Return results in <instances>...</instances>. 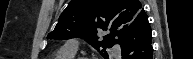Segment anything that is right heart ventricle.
<instances>
[{"label":"right heart ventricle","instance_id":"1","mask_svg":"<svg viewBox=\"0 0 193 59\" xmlns=\"http://www.w3.org/2000/svg\"><path fill=\"white\" fill-rule=\"evenodd\" d=\"M76 52L61 48L53 59H73Z\"/></svg>","mask_w":193,"mask_h":59}]
</instances>
